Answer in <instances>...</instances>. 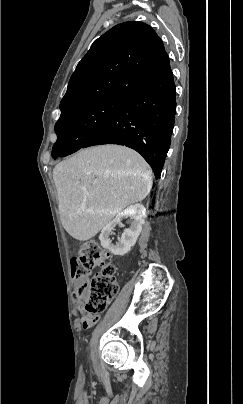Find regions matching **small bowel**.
Returning a JSON list of instances; mask_svg holds the SVG:
<instances>
[{
	"mask_svg": "<svg viewBox=\"0 0 243 404\" xmlns=\"http://www.w3.org/2000/svg\"><path fill=\"white\" fill-rule=\"evenodd\" d=\"M81 312H84L82 308H79ZM98 320V316L96 315H88L84 312L83 318L80 320V325L84 329L91 328Z\"/></svg>",
	"mask_w": 243,
	"mask_h": 404,
	"instance_id": "1",
	"label": "small bowel"
}]
</instances>
